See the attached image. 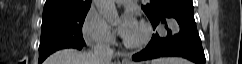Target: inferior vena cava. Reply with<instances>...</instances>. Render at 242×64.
Segmentation results:
<instances>
[{"label": "inferior vena cava", "instance_id": "obj_1", "mask_svg": "<svg viewBox=\"0 0 242 64\" xmlns=\"http://www.w3.org/2000/svg\"><path fill=\"white\" fill-rule=\"evenodd\" d=\"M94 56L98 64H111L113 49L107 43H98L94 47Z\"/></svg>", "mask_w": 242, "mask_h": 64}]
</instances>
